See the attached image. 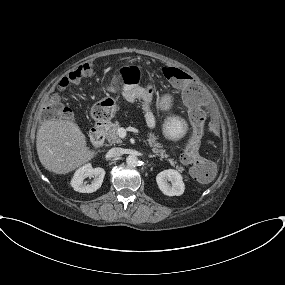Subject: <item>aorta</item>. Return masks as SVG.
Segmentation results:
<instances>
[{"instance_id": "aorta-1", "label": "aorta", "mask_w": 285, "mask_h": 285, "mask_svg": "<svg viewBox=\"0 0 285 285\" xmlns=\"http://www.w3.org/2000/svg\"><path fill=\"white\" fill-rule=\"evenodd\" d=\"M126 163L129 167H136L138 164V158L135 155H129L126 158Z\"/></svg>"}]
</instances>
